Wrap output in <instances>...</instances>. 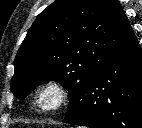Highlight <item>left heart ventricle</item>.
<instances>
[{"label": "left heart ventricle", "instance_id": "b2bd125f", "mask_svg": "<svg viewBox=\"0 0 142 128\" xmlns=\"http://www.w3.org/2000/svg\"><path fill=\"white\" fill-rule=\"evenodd\" d=\"M52 97L51 96H46L44 99L45 104H50L52 102Z\"/></svg>", "mask_w": 142, "mask_h": 128}]
</instances>
